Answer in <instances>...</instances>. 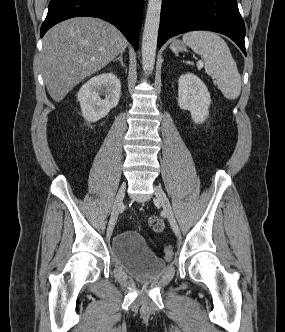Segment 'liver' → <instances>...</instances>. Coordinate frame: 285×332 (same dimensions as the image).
<instances>
[{
  "instance_id": "liver-1",
  "label": "liver",
  "mask_w": 285,
  "mask_h": 332,
  "mask_svg": "<svg viewBox=\"0 0 285 332\" xmlns=\"http://www.w3.org/2000/svg\"><path fill=\"white\" fill-rule=\"evenodd\" d=\"M127 47V40L110 23L75 17L58 23L44 36L43 78L51 98L62 101L84 78L108 65Z\"/></svg>"
}]
</instances>
